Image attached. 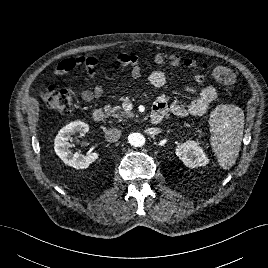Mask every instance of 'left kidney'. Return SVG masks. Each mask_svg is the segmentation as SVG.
I'll use <instances>...</instances> for the list:
<instances>
[{"mask_svg":"<svg viewBox=\"0 0 268 268\" xmlns=\"http://www.w3.org/2000/svg\"><path fill=\"white\" fill-rule=\"evenodd\" d=\"M176 155L189 168L206 166L209 163V159L198 141L188 140L179 144L176 148Z\"/></svg>","mask_w":268,"mask_h":268,"instance_id":"1","label":"left kidney"}]
</instances>
